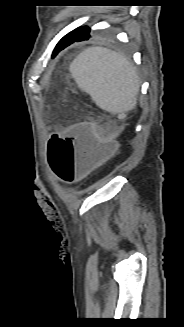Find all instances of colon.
Returning a JSON list of instances; mask_svg holds the SVG:
<instances>
[{"instance_id": "colon-1", "label": "colon", "mask_w": 184, "mask_h": 327, "mask_svg": "<svg viewBox=\"0 0 184 327\" xmlns=\"http://www.w3.org/2000/svg\"><path fill=\"white\" fill-rule=\"evenodd\" d=\"M114 124L78 123L66 134L54 135L47 148L50 167L67 184L81 181L108 162L117 144L108 139Z\"/></svg>"}]
</instances>
